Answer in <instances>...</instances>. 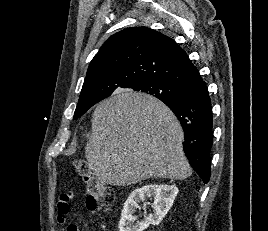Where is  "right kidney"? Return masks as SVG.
I'll use <instances>...</instances> for the list:
<instances>
[{"mask_svg": "<svg viewBox=\"0 0 268 231\" xmlns=\"http://www.w3.org/2000/svg\"><path fill=\"white\" fill-rule=\"evenodd\" d=\"M179 190L175 185L149 184L135 189L124 203L119 222V231H144L149 225H158L172 207ZM146 197H153V213L145 217L143 221L134 224V215L138 203Z\"/></svg>", "mask_w": 268, "mask_h": 231, "instance_id": "right-kidney-1", "label": "right kidney"}]
</instances>
